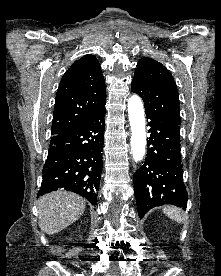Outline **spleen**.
Returning a JSON list of instances; mask_svg holds the SVG:
<instances>
[{
    "mask_svg": "<svg viewBox=\"0 0 221 276\" xmlns=\"http://www.w3.org/2000/svg\"><path fill=\"white\" fill-rule=\"evenodd\" d=\"M163 211L170 219L178 223L183 222L181 211L177 207L167 206L164 208Z\"/></svg>",
    "mask_w": 221,
    "mask_h": 276,
    "instance_id": "spleen-1",
    "label": "spleen"
}]
</instances>
